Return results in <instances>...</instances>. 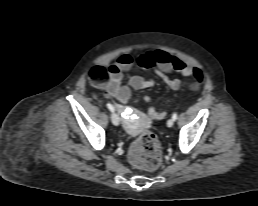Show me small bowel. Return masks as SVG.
<instances>
[{"mask_svg": "<svg viewBox=\"0 0 258 206\" xmlns=\"http://www.w3.org/2000/svg\"><path fill=\"white\" fill-rule=\"evenodd\" d=\"M135 65L143 69L154 70L172 90H178L181 87V80L177 77H169L168 74L171 72L192 77L193 82L190 87L193 90L199 88L203 79V72L200 68L191 66L162 50L146 52L137 59L128 54H123L108 68V80L102 87L110 98L116 99L120 103L128 101L130 89L123 84V78L124 74ZM129 84L135 89H145L154 86L155 82L139 75H131L129 76ZM145 100L148 101V97H145ZM149 113L150 117L154 119H162L165 116L163 112H157L154 108H151ZM127 125L131 126V121H127Z\"/></svg>", "mask_w": 258, "mask_h": 206, "instance_id": "1", "label": "small bowel"}]
</instances>
